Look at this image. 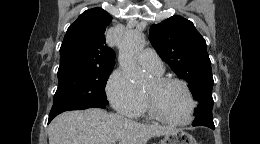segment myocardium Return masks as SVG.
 I'll return each instance as SVG.
<instances>
[{
  "label": "myocardium",
  "mask_w": 260,
  "mask_h": 144,
  "mask_svg": "<svg viewBox=\"0 0 260 144\" xmlns=\"http://www.w3.org/2000/svg\"><path fill=\"white\" fill-rule=\"evenodd\" d=\"M152 83H153L154 88H156V89H160L169 84H177V85L181 86L189 98L190 113H189V117L184 121H176V120L169 119V118L165 117L158 110V108L155 105L153 95L144 91L143 97H144L146 109L148 110V113L150 114V116L160 122H163V123H166L169 125H173V126H185V125L190 124L194 119L195 110H196V101H195L192 91L189 88V86L187 85V83L178 78L163 77V76L154 77L152 80Z\"/></svg>",
  "instance_id": "obj_1"
}]
</instances>
